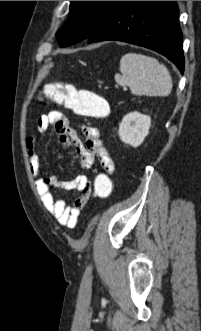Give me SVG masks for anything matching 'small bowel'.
Here are the masks:
<instances>
[{"label":"small bowel","instance_id":"1","mask_svg":"<svg viewBox=\"0 0 201 331\" xmlns=\"http://www.w3.org/2000/svg\"><path fill=\"white\" fill-rule=\"evenodd\" d=\"M50 126H54L60 141L72 147L80 158V167L89 169L95 160H98L103 172L112 175L114 163L103 146L99 130L91 125L82 126L85 140L82 141L77 130L70 126L65 115L58 110L43 114L37 121V130L43 133ZM35 136H30L27 141L28 159L34 177L37 191L45 209L57 220L60 225L74 228L79 220L81 211L90 198V181L86 175H77L71 180H61L54 175H42L40 169V155L35 147ZM76 189L79 196L73 205L68 206L65 201L54 198L52 189Z\"/></svg>","mask_w":201,"mask_h":331}]
</instances>
